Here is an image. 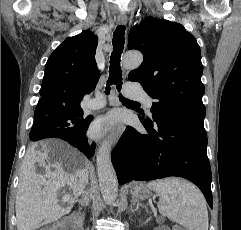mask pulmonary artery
Masks as SVG:
<instances>
[{
	"mask_svg": "<svg viewBox=\"0 0 241 230\" xmlns=\"http://www.w3.org/2000/svg\"><path fill=\"white\" fill-rule=\"evenodd\" d=\"M125 94L128 98L136 101L143 102L148 108L153 106V99L144 93L140 87L132 82H129L125 85L124 88ZM105 106V99L103 96L99 95L88 101L87 107L90 109H100Z\"/></svg>",
	"mask_w": 241,
	"mask_h": 230,
	"instance_id": "obj_1",
	"label": "pulmonary artery"
}]
</instances>
